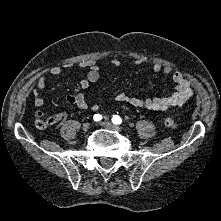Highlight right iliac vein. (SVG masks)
I'll return each mask as SVG.
<instances>
[{
	"instance_id": "obj_1",
	"label": "right iliac vein",
	"mask_w": 221,
	"mask_h": 221,
	"mask_svg": "<svg viewBox=\"0 0 221 221\" xmlns=\"http://www.w3.org/2000/svg\"><path fill=\"white\" fill-rule=\"evenodd\" d=\"M90 128V124L89 123H84L83 126H82V130L84 132H87Z\"/></svg>"
}]
</instances>
